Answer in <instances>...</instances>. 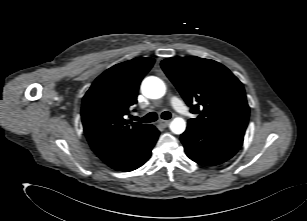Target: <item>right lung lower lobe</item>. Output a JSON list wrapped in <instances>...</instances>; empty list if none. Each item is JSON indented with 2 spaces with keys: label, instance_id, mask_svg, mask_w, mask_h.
Returning <instances> with one entry per match:
<instances>
[{
  "label": "right lung lower lobe",
  "instance_id": "98d812e1",
  "mask_svg": "<svg viewBox=\"0 0 307 221\" xmlns=\"http://www.w3.org/2000/svg\"><path fill=\"white\" fill-rule=\"evenodd\" d=\"M159 136V131L152 126L149 132L131 149L115 161L107 164L117 171L129 172L139 168L151 156V150Z\"/></svg>",
  "mask_w": 307,
  "mask_h": 221
}]
</instances>
